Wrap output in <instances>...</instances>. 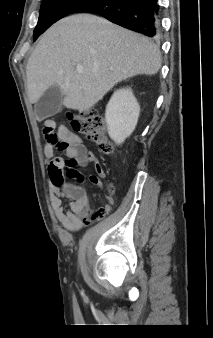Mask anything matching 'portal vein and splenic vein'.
Instances as JSON below:
<instances>
[{
  "instance_id": "18ae733b",
  "label": "portal vein and splenic vein",
  "mask_w": 213,
  "mask_h": 338,
  "mask_svg": "<svg viewBox=\"0 0 213 338\" xmlns=\"http://www.w3.org/2000/svg\"><path fill=\"white\" fill-rule=\"evenodd\" d=\"M76 71L79 73V74H82L83 73V68L81 66H78L76 68Z\"/></svg>"
}]
</instances>
